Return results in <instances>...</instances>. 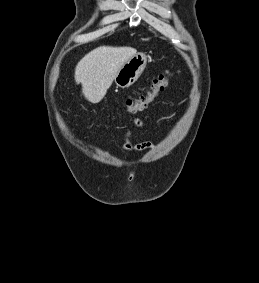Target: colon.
<instances>
[{
    "label": "colon",
    "instance_id": "colon-1",
    "mask_svg": "<svg viewBox=\"0 0 259 283\" xmlns=\"http://www.w3.org/2000/svg\"><path fill=\"white\" fill-rule=\"evenodd\" d=\"M173 73L166 71L157 76L151 83L149 90L136 98L125 101V106L130 112L142 111L145 109L164 89L167 87Z\"/></svg>",
    "mask_w": 259,
    "mask_h": 283
}]
</instances>
